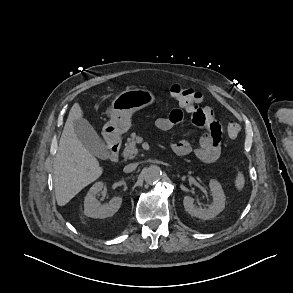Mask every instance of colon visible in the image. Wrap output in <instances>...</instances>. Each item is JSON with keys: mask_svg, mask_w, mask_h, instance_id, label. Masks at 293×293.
<instances>
[{"mask_svg": "<svg viewBox=\"0 0 293 293\" xmlns=\"http://www.w3.org/2000/svg\"><path fill=\"white\" fill-rule=\"evenodd\" d=\"M171 97L186 111L194 112L200 102V94L192 88L181 86L178 84L172 85L169 89ZM197 112L194 113L196 115ZM241 127L236 121H229L227 124V132L231 138L239 135Z\"/></svg>", "mask_w": 293, "mask_h": 293, "instance_id": "obj_1", "label": "colon"}]
</instances>
